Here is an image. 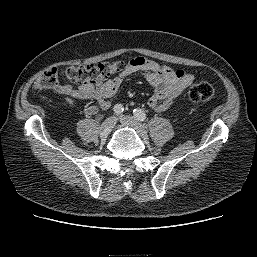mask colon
<instances>
[{
	"label": "colon",
	"mask_w": 257,
	"mask_h": 257,
	"mask_svg": "<svg viewBox=\"0 0 257 257\" xmlns=\"http://www.w3.org/2000/svg\"><path fill=\"white\" fill-rule=\"evenodd\" d=\"M123 61L103 62L99 64H86L80 66H68L63 70L50 68L43 72L37 81L40 89H53L58 85L59 78L80 85H95L98 82L106 81L113 74H121L126 69ZM213 86L205 81L192 84L187 92L192 102H207L214 97Z\"/></svg>",
	"instance_id": "colon-1"
}]
</instances>
